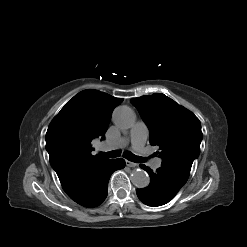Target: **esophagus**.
I'll list each match as a JSON object with an SVG mask.
<instances>
[{
    "label": "esophagus",
    "instance_id": "1",
    "mask_svg": "<svg viewBox=\"0 0 247 247\" xmlns=\"http://www.w3.org/2000/svg\"><path fill=\"white\" fill-rule=\"evenodd\" d=\"M126 165H127L128 167H136V166H137L136 163L131 162V161H128V160H126Z\"/></svg>",
    "mask_w": 247,
    "mask_h": 247
}]
</instances>
